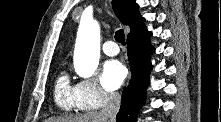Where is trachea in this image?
<instances>
[{"instance_id":"1","label":"trachea","mask_w":221,"mask_h":122,"mask_svg":"<svg viewBox=\"0 0 221 122\" xmlns=\"http://www.w3.org/2000/svg\"><path fill=\"white\" fill-rule=\"evenodd\" d=\"M115 40L119 42L120 44L125 45V34H124L123 29L116 31Z\"/></svg>"}]
</instances>
